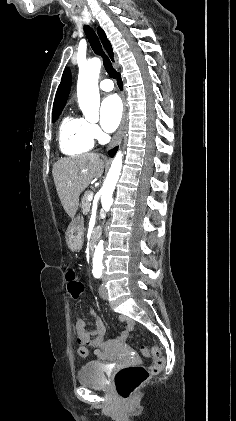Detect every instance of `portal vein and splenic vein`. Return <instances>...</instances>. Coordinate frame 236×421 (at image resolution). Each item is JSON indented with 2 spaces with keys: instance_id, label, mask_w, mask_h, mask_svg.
<instances>
[{
  "instance_id": "obj_1",
  "label": "portal vein and splenic vein",
  "mask_w": 236,
  "mask_h": 421,
  "mask_svg": "<svg viewBox=\"0 0 236 421\" xmlns=\"http://www.w3.org/2000/svg\"><path fill=\"white\" fill-rule=\"evenodd\" d=\"M93 194H88V200H92Z\"/></svg>"
}]
</instances>
